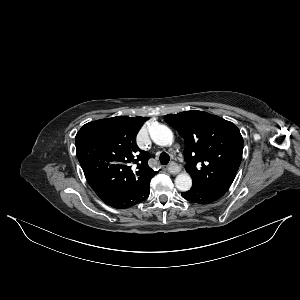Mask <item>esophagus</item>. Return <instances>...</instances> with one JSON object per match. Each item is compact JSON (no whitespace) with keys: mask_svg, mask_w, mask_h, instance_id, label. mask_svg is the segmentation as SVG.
Wrapping results in <instances>:
<instances>
[{"mask_svg":"<svg viewBox=\"0 0 300 300\" xmlns=\"http://www.w3.org/2000/svg\"><path fill=\"white\" fill-rule=\"evenodd\" d=\"M167 171L171 174H177L179 173L180 169L174 162H171L167 167Z\"/></svg>","mask_w":300,"mask_h":300,"instance_id":"obj_1","label":"esophagus"}]
</instances>
